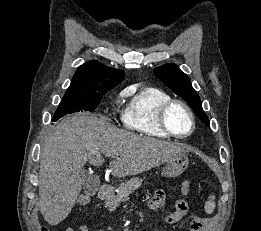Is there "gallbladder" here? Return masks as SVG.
<instances>
[{
	"mask_svg": "<svg viewBox=\"0 0 261 231\" xmlns=\"http://www.w3.org/2000/svg\"><path fill=\"white\" fill-rule=\"evenodd\" d=\"M80 177L85 192L89 195L94 194L99 188V181L97 177L85 170L80 171Z\"/></svg>",
	"mask_w": 261,
	"mask_h": 231,
	"instance_id": "bac80fb5",
	"label": "gallbladder"
}]
</instances>
